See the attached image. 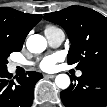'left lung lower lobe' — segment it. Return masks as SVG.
Instances as JSON below:
<instances>
[{
    "mask_svg": "<svg viewBox=\"0 0 107 107\" xmlns=\"http://www.w3.org/2000/svg\"><path fill=\"white\" fill-rule=\"evenodd\" d=\"M77 84L60 93L66 107H106L107 106V71L83 70Z\"/></svg>",
    "mask_w": 107,
    "mask_h": 107,
    "instance_id": "0a47b994",
    "label": "left lung lower lobe"
}]
</instances>
